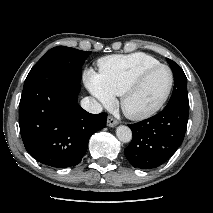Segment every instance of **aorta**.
Masks as SVG:
<instances>
[{
	"instance_id": "obj_1",
	"label": "aorta",
	"mask_w": 213,
	"mask_h": 213,
	"mask_svg": "<svg viewBox=\"0 0 213 213\" xmlns=\"http://www.w3.org/2000/svg\"><path fill=\"white\" fill-rule=\"evenodd\" d=\"M116 136L121 142L128 143L132 140V131L129 127L120 125L116 129Z\"/></svg>"
}]
</instances>
